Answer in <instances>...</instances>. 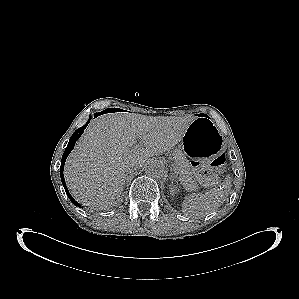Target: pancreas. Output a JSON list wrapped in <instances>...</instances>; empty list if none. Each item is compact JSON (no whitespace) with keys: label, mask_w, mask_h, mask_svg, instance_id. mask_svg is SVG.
<instances>
[{"label":"pancreas","mask_w":299,"mask_h":299,"mask_svg":"<svg viewBox=\"0 0 299 299\" xmlns=\"http://www.w3.org/2000/svg\"><path fill=\"white\" fill-rule=\"evenodd\" d=\"M176 173L179 175V179L183 182L188 190H195L197 183L193 172L191 170L188 159L182 151L177 150L175 152V167Z\"/></svg>","instance_id":"obj_1"}]
</instances>
